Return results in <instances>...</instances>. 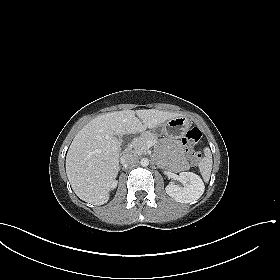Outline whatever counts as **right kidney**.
<instances>
[{"label":"right kidney","instance_id":"right-kidney-1","mask_svg":"<svg viewBox=\"0 0 280 280\" xmlns=\"http://www.w3.org/2000/svg\"><path fill=\"white\" fill-rule=\"evenodd\" d=\"M116 186H117V182L113 181L112 184H111V189H114Z\"/></svg>","mask_w":280,"mask_h":280}]
</instances>
